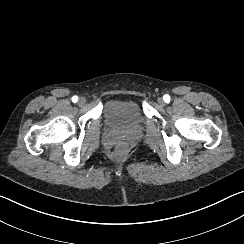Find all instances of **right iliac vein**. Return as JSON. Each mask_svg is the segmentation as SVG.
Instances as JSON below:
<instances>
[{"mask_svg": "<svg viewBox=\"0 0 244 244\" xmlns=\"http://www.w3.org/2000/svg\"><path fill=\"white\" fill-rule=\"evenodd\" d=\"M78 103H79L80 106H84V105L86 104V99L83 98V97H81V98L79 99Z\"/></svg>", "mask_w": 244, "mask_h": 244, "instance_id": "obj_1", "label": "right iliac vein"}]
</instances>
